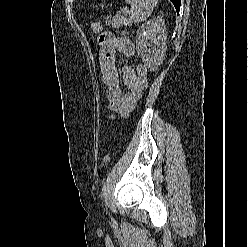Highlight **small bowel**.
<instances>
[{"instance_id": "obj_1", "label": "small bowel", "mask_w": 248, "mask_h": 247, "mask_svg": "<svg viewBox=\"0 0 248 247\" xmlns=\"http://www.w3.org/2000/svg\"><path fill=\"white\" fill-rule=\"evenodd\" d=\"M102 83L105 88L108 109L122 116L127 115L135 106L143 91L137 88V75L134 69L124 65L117 66V53L131 57L135 46L128 37H116L111 32L101 34L97 39ZM120 75L127 90L120 87Z\"/></svg>"}]
</instances>
